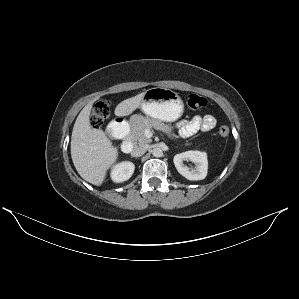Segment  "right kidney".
Listing matches in <instances>:
<instances>
[{
    "instance_id": "ca27d5eb",
    "label": "right kidney",
    "mask_w": 299,
    "mask_h": 299,
    "mask_svg": "<svg viewBox=\"0 0 299 299\" xmlns=\"http://www.w3.org/2000/svg\"><path fill=\"white\" fill-rule=\"evenodd\" d=\"M134 169L135 166L132 162H121L113 168L111 178L116 183L124 182L132 176Z\"/></svg>"
}]
</instances>
